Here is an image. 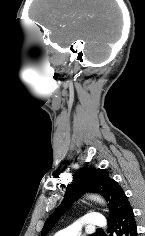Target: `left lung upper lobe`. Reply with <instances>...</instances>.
<instances>
[{
	"mask_svg": "<svg viewBox=\"0 0 145 236\" xmlns=\"http://www.w3.org/2000/svg\"><path fill=\"white\" fill-rule=\"evenodd\" d=\"M83 192H97L106 198V201L109 202L108 206L110 207V217L108 221L123 214L131 207L121 186L110 178L106 170L82 168L76 172L72 183L68 185L67 193L62 203L48 218L42 229L41 236H44L54 226L60 216Z\"/></svg>",
	"mask_w": 145,
	"mask_h": 236,
	"instance_id": "left-lung-upper-lobe-1",
	"label": "left lung upper lobe"
}]
</instances>
